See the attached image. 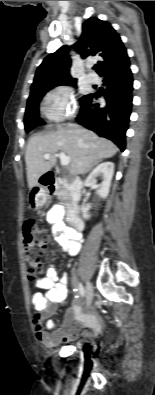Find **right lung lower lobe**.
Instances as JSON below:
<instances>
[{
    "instance_id": "1",
    "label": "right lung lower lobe",
    "mask_w": 155,
    "mask_h": 395,
    "mask_svg": "<svg viewBox=\"0 0 155 395\" xmlns=\"http://www.w3.org/2000/svg\"><path fill=\"white\" fill-rule=\"evenodd\" d=\"M104 77L108 90L83 96L76 121L100 136L112 140L121 151L125 150V133L128 129L133 99V75L130 63L109 69ZM103 96L106 105L100 106L95 99Z\"/></svg>"
}]
</instances>
